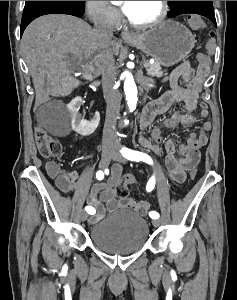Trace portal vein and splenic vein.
Segmentation results:
<instances>
[{"label": "portal vein and splenic vein", "mask_w": 237, "mask_h": 300, "mask_svg": "<svg viewBox=\"0 0 237 300\" xmlns=\"http://www.w3.org/2000/svg\"><path fill=\"white\" fill-rule=\"evenodd\" d=\"M144 65H145L144 67H145L146 69L150 67L149 65H147V62H146V61L144 62Z\"/></svg>", "instance_id": "obj_1"}]
</instances>
